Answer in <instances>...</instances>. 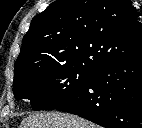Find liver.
Segmentation results:
<instances>
[{
  "label": "liver",
  "mask_w": 142,
  "mask_h": 128,
  "mask_svg": "<svg viewBox=\"0 0 142 128\" xmlns=\"http://www.w3.org/2000/svg\"><path fill=\"white\" fill-rule=\"evenodd\" d=\"M19 128H97L76 115L60 112L35 113L26 117Z\"/></svg>",
  "instance_id": "obj_1"
}]
</instances>
